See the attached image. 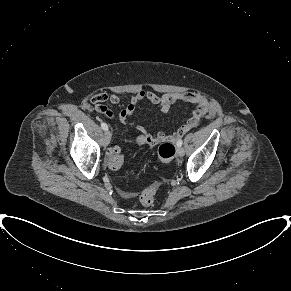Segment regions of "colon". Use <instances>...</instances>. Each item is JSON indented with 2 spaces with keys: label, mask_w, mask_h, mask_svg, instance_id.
<instances>
[{
  "label": "colon",
  "mask_w": 291,
  "mask_h": 291,
  "mask_svg": "<svg viewBox=\"0 0 291 291\" xmlns=\"http://www.w3.org/2000/svg\"><path fill=\"white\" fill-rule=\"evenodd\" d=\"M176 154V148L172 142H164L158 149V156L162 162H168L174 158ZM124 163V155L121 151L113 152L109 155L108 166L112 170H118ZM157 193V186L152 185L145 189L140 195V202L145 207L152 206L155 195Z\"/></svg>",
  "instance_id": "1"
}]
</instances>
